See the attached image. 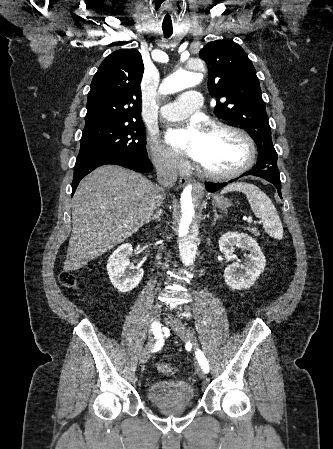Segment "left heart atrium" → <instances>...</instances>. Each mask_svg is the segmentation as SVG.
Here are the masks:
<instances>
[{
	"mask_svg": "<svg viewBox=\"0 0 333 449\" xmlns=\"http://www.w3.org/2000/svg\"><path fill=\"white\" fill-rule=\"evenodd\" d=\"M204 132L195 123H190L170 131L166 136L167 143L176 150L183 151L189 157L196 159L204 138Z\"/></svg>",
	"mask_w": 333,
	"mask_h": 449,
	"instance_id": "left-heart-atrium-1",
	"label": "left heart atrium"
}]
</instances>
